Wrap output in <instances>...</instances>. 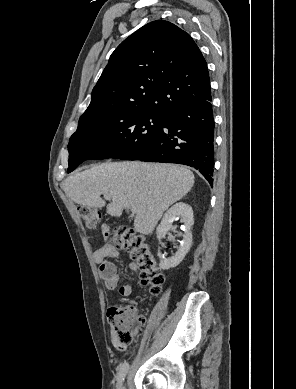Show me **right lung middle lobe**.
Instances as JSON below:
<instances>
[{"label":"right lung middle lobe","instance_id":"1","mask_svg":"<svg viewBox=\"0 0 296 389\" xmlns=\"http://www.w3.org/2000/svg\"><path fill=\"white\" fill-rule=\"evenodd\" d=\"M166 116L135 108H116L80 118L68 144L67 172L88 159H137V154L161 129Z\"/></svg>","mask_w":296,"mask_h":389}]
</instances>
